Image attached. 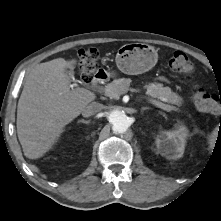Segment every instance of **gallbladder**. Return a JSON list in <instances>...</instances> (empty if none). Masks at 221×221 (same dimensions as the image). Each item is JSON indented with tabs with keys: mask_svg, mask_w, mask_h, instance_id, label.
<instances>
[{
	"mask_svg": "<svg viewBox=\"0 0 221 221\" xmlns=\"http://www.w3.org/2000/svg\"><path fill=\"white\" fill-rule=\"evenodd\" d=\"M65 72L68 74L69 72H71L70 70H65Z\"/></svg>",
	"mask_w": 221,
	"mask_h": 221,
	"instance_id": "obj_1",
	"label": "gallbladder"
}]
</instances>
